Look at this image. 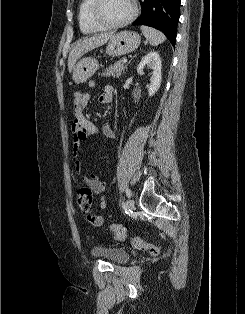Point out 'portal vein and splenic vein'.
Returning <instances> with one entry per match:
<instances>
[{
    "label": "portal vein and splenic vein",
    "instance_id": "1",
    "mask_svg": "<svg viewBox=\"0 0 245 314\" xmlns=\"http://www.w3.org/2000/svg\"><path fill=\"white\" fill-rule=\"evenodd\" d=\"M123 63H127V59H123Z\"/></svg>",
    "mask_w": 245,
    "mask_h": 314
}]
</instances>
